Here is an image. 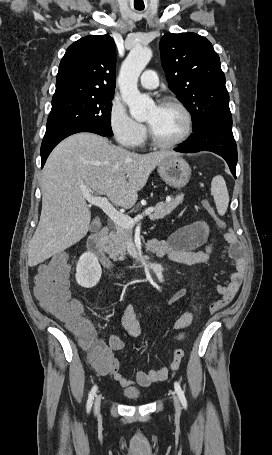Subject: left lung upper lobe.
Returning <instances> with one entry per match:
<instances>
[{
    "label": "left lung upper lobe",
    "mask_w": 272,
    "mask_h": 455,
    "mask_svg": "<svg viewBox=\"0 0 272 455\" xmlns=\"http://www.w3.org/2000/svg\"><path fill=\"white\" fill-rule=\"evenodd\" d=\"M160 50L169 88L191 113L193 130L231 118L225 75L208 39L191 32L168 33Z\"/></svg>",
    "instance_id": "5c2ea615"
}]
</instances>
